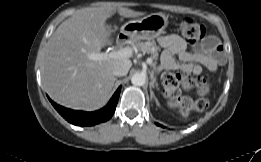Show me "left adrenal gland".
I'll list each match as a JSON object with an SVG mask.
<instances>
[{
    "mask_svg": "<svg viewBox=\"0 0 261 162\" xmlns=\"http://www.w3.org/2000/svg\"><path fill=\"white\" fill-rule=\"evenodd\" d=\"M152 87H154V82H153V81L150 82V96H151V99L153 98V99L155 100L156 105L159 106L160 104H159V102H158V99H157V98L155 97V95H154V92H153V90H152Z\"/></svg>",
    "mask_w": 261,
    "mask_h": 162,
    "instance_id": "1",
    "label": "left adrenal gland"
}]
</instances>
